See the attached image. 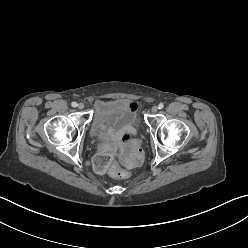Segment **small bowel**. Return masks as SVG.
I'll return each instance as SVG.
<instances>
[{
  "label": "small bowel",
  "instance_id": "small-bowel-1",
  "mask_svg": "<svg viewBox=\"0 0 248 248\" xmlns=\"http://www.w3.org/2000/svg\"><path fill=\"white\" fill-rule=\"evenodd\" d=\"M134 105L135 111L137 112L138 105L135 102H132ZM125 141V146L120 150L121 158L128 166H134L141 162L142 159V148L139 143L126 134L123 137Z\"/></svg>",
  "mask_w": 248,
  "mask_h": 248
}]
</instances>
